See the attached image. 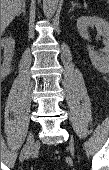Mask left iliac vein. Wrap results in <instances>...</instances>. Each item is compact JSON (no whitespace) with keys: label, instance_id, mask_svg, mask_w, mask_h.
I'll return each instance as SVG.
<instances>
[{"label":"left iliac vein","instance_id":"1","mask_svg":"<svg viewBox=\"0 0 109 170\" xmlns=\"http://www.w3.org/2000/svg\"><path fill=\"white\" fill-rule=\"evenodd\" d=\"M69 146H70V149H71V150L74 149V145H73V142H72V141L69 142Z\"/></svg>","mask_w":109,"mask_h":170}]
</instances>
